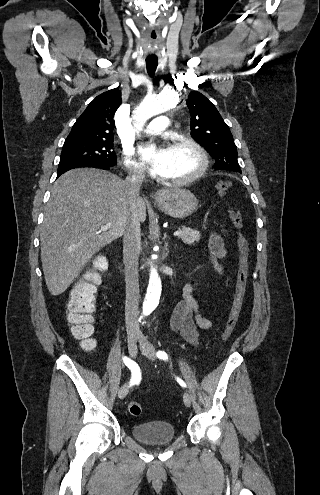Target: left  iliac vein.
<instances>
[{"mask_svg": "<svg viewBox=\"0 0 320 495\" xmlns=\"http://www.w3.org/2000/svg\"><path fill=\"white\" fill-rule=\"evenodd\" d=\"M139 338L143 340L144 344L140 346V349L142 351V353L150 360H155L156 357H155V348L153 345L149 344L145 338L143 337V335H139ZM183 401H184V404L187 406V407H190L191 406V402H192V397L190 395L189 392H185L183 394Z\"/></svg>", "mask_w": 320, "mask_h": 495, "instance_id": "4c4485c4", "label": "left iliac vein"}]
</instances>
